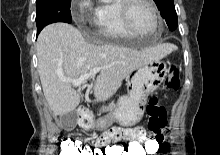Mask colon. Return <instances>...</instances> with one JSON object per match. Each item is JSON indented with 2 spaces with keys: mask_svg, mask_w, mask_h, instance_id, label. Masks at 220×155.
<instances>
[{
  "mask_svg": "<svg viewBox=\"0 0 220 155\" xmlns=\"http://www.w3.org/2000/svg\"><path fill=\"white\" fill-rule=\"evenodd\" d=\"M165 86L169 90L180 87V72L176 66L168 69ZM148 130L155 135L147 139L123 142V146H108L84 143L73 139H64L61 143L62 155H159L160 144H163L166 128V112L157 98H151L146 108ZM127 133H129L127 131ZM118 142V141H117Z\"/></svg>",
  "mask_w": 220,
  "mask_h": 155,
  "instance_id": "obj_1",
  "label": "colon"
}]
</instances>
